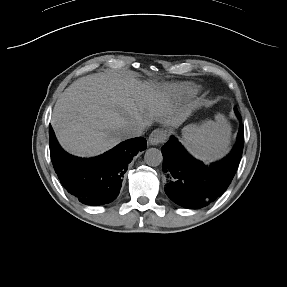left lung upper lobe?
Masks as SVG:
<instances>
[{
	"label": "left lung upper lobe",
	"mask_w": 287,
	"mask_h": 287,
	"mask_svg": "<svg viewBox=\"0 0 287 287\" xmlns=\"http://www.w3.org/2000/svg\"><path fill=\"white\" fill-rule=\"evenodd\" d=\"M235 113H239L236 108H235Z\"/></svg>",
	"instance_id": "left-lung-upper-lobe-1"
}]
</instances>
